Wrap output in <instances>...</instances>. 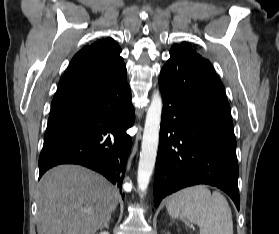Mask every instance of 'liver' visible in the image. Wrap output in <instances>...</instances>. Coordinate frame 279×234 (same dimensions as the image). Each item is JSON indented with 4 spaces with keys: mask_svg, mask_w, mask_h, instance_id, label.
<instances>
[{
    "mask_svg": "<svg viewBox=\"0 0 279 234\" xmlns=\"http://www.w3.org/2000/svg\"><path fill=\"white\" fill-rule=\"evenodd\" d=\"M120 194L103 176L77 165L47 171L39 183L38 234H95L117 207Z\"/></svg>",
    "mask_w": 279,
    "mask_h": 234,
    "instance_id": "6515ba94",
    "label": "liver"
}]
</instances>
